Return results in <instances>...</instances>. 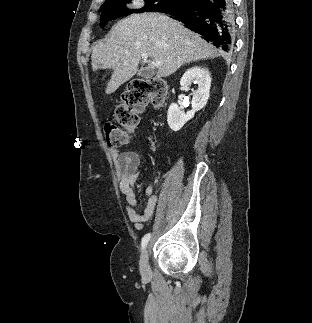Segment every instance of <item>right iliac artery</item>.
Returning a JSON list of instances; mask_svg holds the SVG:
<instances>
[{
	"mask_svg": "<svg viewBox=\"0 0 312 323\" xmlns=\"http://www.w3.org/2000/svg\"><path fill=\"white\" fill-rule=\"evenodd\" d=\"M150 237H151L150 233H148V234L144 235V237L142 238V242H141L142 249H144V248H145V246L147 245V243H148V242H149V240H150Z\"/></svg>",
	"mask_w": 312,
	"mask_h": 323,
	"instance_id": "right-iliac-artery-1",
	"label": "right iliac artery"
}]
</instances>
